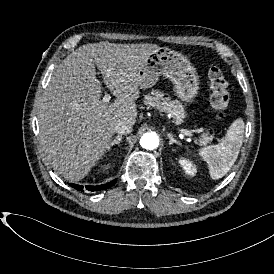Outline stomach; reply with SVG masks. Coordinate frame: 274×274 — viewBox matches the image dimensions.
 Wrapping results in <instances>:
<instances>
[{
	"mask_svg": "<svg viewBox=\"0 0 274 274\" xmlns=\"http://www.w3.org/2000/svg\"><path fill=\"white\" fill-rule=\"evenodd\" d=\"M138 74L141 88L153 86L159 75L169 79L175 96L184 105L194 104L199 95L200 75L193 63L180 52L160 47L150 55Z\"/></svg>",
	"mask_w": 274,
	"mask_h": 274,
	"instance_id": "obj_1",
	"label": "stomach"
}]
</instances>
